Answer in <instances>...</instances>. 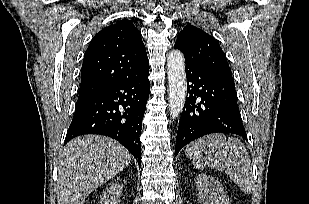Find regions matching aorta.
Listing matches in <instances>:
<instances>
[{"mask_svg":"<svg viewBox=\"0 0 309 204\" xmlns=\"http://www.w3.org/2000/svg\"><path fill=\"white\" fill-rule=\"evenodd\" d=\"M167 73L169 83V112L174 119L182 112L186 93L187 83L185 74V60L183 54L173 50L167 58Z\"/></svg>","mask_w":309,"mask_h":204,"instance_id":"762f6f07","label":"aorta"}]
</instances>
